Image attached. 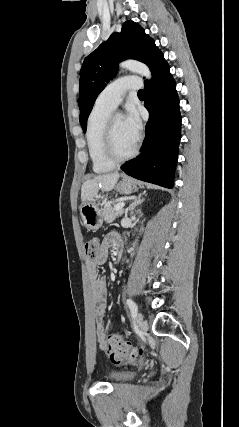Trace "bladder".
I'll use <instances>...</instances> for the list:
<instances>
[{
	"label": "bladder",
	"mask_w": 239,
	"mask_h": 427,
	"mask_svg": "<svg viewBox=\"0 0 239 427\" xmlns=\"http://www.w3.org/2000/svg\"><path fill=\"white\" fill-rule=\"evenodd\" d=\"M135 376V372L127 370H117L109 373V379L112 382H126L133 379Z\"/></svg>",
	"instance_id": "obj_1"
}]
</instances>
